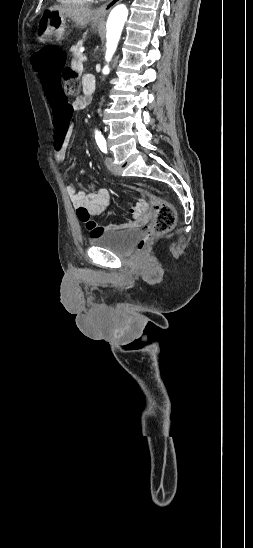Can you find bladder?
I'll use <instances>...</instances> for the list:
<instances>
[{
  "label": "bladder",
  "instance_id": "obj_1",
  "mask_svg": "<svg viewBox=\"0 0 253 548\" xmlns=\"http://www.w3.org/2000/svg\"><path fill=\"white\" fill-rule=\"evenodd\" d=\"M142 231L132 228L122 231H110L92 236L89 242L93 246L103 247L115 254H126L140 238Z\"/></svg>",
  "mask_w": 253,
  "mask_h": 548
}]
</instances>
